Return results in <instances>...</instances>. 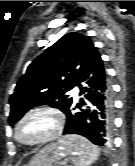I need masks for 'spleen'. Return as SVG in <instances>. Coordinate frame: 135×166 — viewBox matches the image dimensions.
<instances>
[{"instance_id":"1","label":"spleen","mask_w":135,"mask_h":166,"mask_svg":"<svg viewBox=\"0 0 135 166\" xmlns=\"http://www.w3.org/2000/svg\"><path fill=\"white\" fill-rule=\"evenodd\" d=\"M60 142L66 144L74 157V166H89L97 160L99 149L86 138L79 135H68L63 137Z\"/></svg>"}]
</instances>
